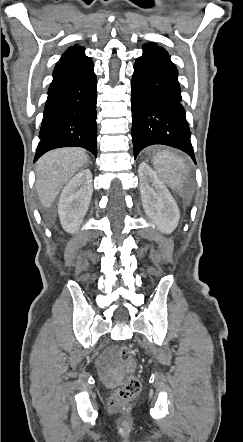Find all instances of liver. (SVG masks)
Returning <instances> with one entry per match:
<instances>
[{"label":"liver","mask_w":243,"mask_h":442,"mask_svg":"<svg viewBox=\"0 0 243 442\" xmlns=\"http://www.w3.org/2000/svg\"><path fill=\"white\" fill-rule=\"evenodd\" d=\"M88 161L81 148H61L44 154L36 163V191L44 208H49L63 186Z\"/></svg>","instance_id":"obj_1"}]
</instances>
